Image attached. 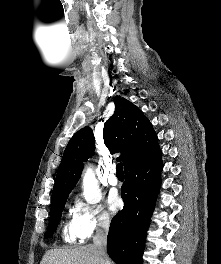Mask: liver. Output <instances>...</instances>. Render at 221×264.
Listing matches in <instances>:
<instances>
[{
  "instance_id": "liver-1",
  "label": "liver",
  "mask_w": 221,
  "mask_h": 264,
  "mask_svg": "<svg viewBox=\"0 0 221 264\" xmlns=\"http://www.w3.org/2000/svg\"><path fill=\"white\" fill-rule=\"evenodd\" d=\"M40 264H100L94 245L81 246L75 249L48 250ZM110 264H112L110 262Z\"/></svg>"
}]
</instances>
